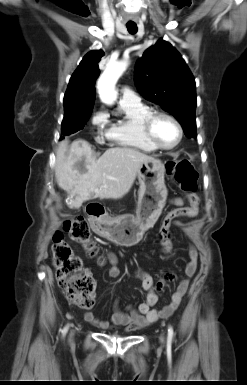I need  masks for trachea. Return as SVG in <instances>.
<instances>
[{"label": "trachea", "instance_id": "3493384b", "mask_svg": "<svg viewBox=\"0 0 247 385\" xmlns=\"http://www.w3.org/2000/svg\"><path fill=\"white\" fill-rule=\"evenodd\" d=\"M127 30L130 34H135L137 32V25L136 24H128Z\"/></svg>", "mask_w": 247, "mask_h": 385}]
</instances>
